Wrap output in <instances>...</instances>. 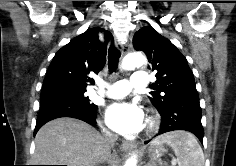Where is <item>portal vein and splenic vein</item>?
<instances>
[{"mask_svg": "<svg viewBox=\"0 0 236 166\" xmlns=\"http://www.w3.org/2000/svg\"><path fill=\"white\" fill-rule=\"evenodd\" d=\"M172 165L175 166L176 165V160H172Z\"/></svg>", "mask_w": 236, "mask_h": 166, "instance_id": "portal-vein-and-splenic-vein-1", "label": "portal vein and splenic vein"}]
</instances>
